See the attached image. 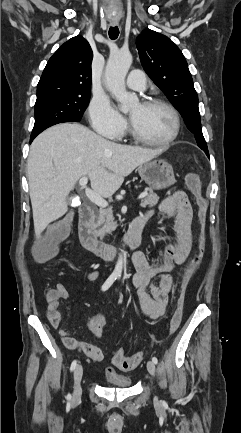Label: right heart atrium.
Returning a JSON list of instances; mask_svg holds the SVG:
<instances>
[{"label":"right heart atrium","mask_w":241,"mask_h":433,"mask_svg":"<svg viewBox=\"0 0 241 433\" xmlns=\"http://www.w3.org/2000/svg\"><path fill=\"white\" fill-rule=\"evenodd\" d=\"M92 128L110 139H120L127 129L125 118L106 98H94L88 109Z\"/></svg>","instance_id":"1"}]
</instances>
